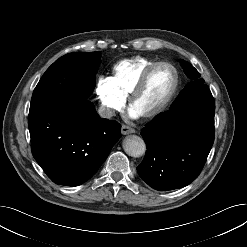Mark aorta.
<instances>
[{"label": "aorta", "instance_id": "1", "mask_svg": "<svg viewBox=\"0 0 247 247\" xmlns=\"http://www.w3.org/2000/svg\"><path fill=\"white\" fill-rule=\"evenodd\" d=\"M124 151L132 157H140L146 151L144 140L136 135L128 136L123 141Z\"/></svg>", "mask_w": 247, "mask_h": 247}]
</instances>
